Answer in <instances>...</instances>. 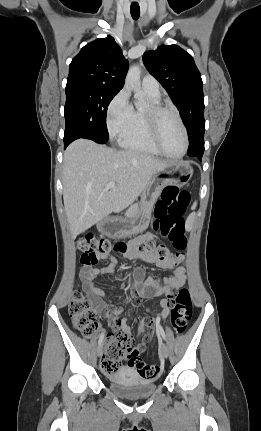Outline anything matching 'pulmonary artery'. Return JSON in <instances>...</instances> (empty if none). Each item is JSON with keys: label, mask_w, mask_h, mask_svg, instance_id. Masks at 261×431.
<instances>
[{"label": "pulmonary artery", "mask_w": 261, "mask_h": 431, "mask_svg": "<svg viewBox=\"0 0 261 431\" xmlns=\"http://www.w3.org/2000/svg\"><path fill=\"white\" fill-rule=\"evenodd\" d=\"M142 88L153 95L159 96L160 86L158 81L151 75H146L142 80Z\"/></svg>", "instance_id": "obj_1"}]
</instances>
